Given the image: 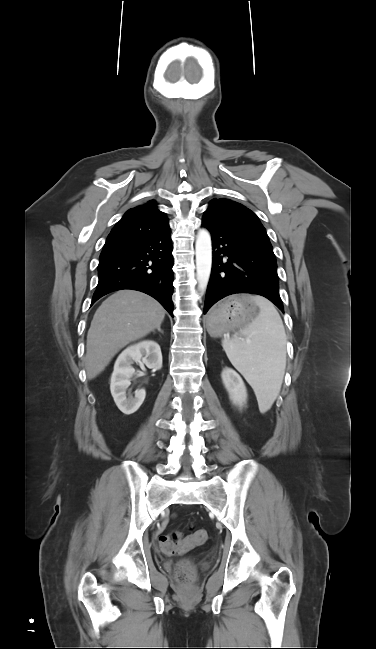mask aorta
<instances>
[{
	"mask_svg": "<svg viewBox=\"0 0 376 649\" xmlns=\"http://www.w3.org/2000/svg\"><path fill=\"white\" fill-rule=\"evenodd\" d=\"M196 272L199 291L207 287L212 265L211 236L206 229H200L196 239Z\"/></svg>",
	"mask_w": 376,
	"mask_h": 649,
	"instance_id": "obj_1",
	"label": "aorta"
}]
</instances>
